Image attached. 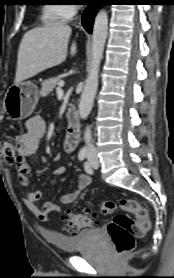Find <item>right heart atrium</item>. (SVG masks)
<instances>
[{"mask_svg": "<svg viewBox=\"0 0 174 278\" xmlns=\"http://www.w3.org/2000/svg\"><path fill=\"white\" fill-rule=\"evenodd\" d=\"M78 5L76 4H65L63 5V14L67 19L72 18L77 12Z\"/></svg>", "mask_w": 174, "mask_h": 278, "instance_id": "obj_1", "label": "right heart atrium"}]
</instances>
